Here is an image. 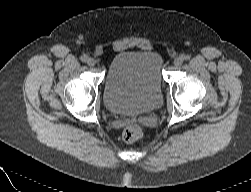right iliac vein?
<instances>
[{"label": "right iliac vein", "instance_id": "obj_1", "mask_svg": "<svg viewBox=\"0 0 251 192\" xmlns=\"http://www.w3.org/2000/svg\"><path fill=\"white\" fill-rule=\"evenodd\" d=\"M87 64H88L89 66H95L96 61H95L94 58L89 57V58L87 59Z\"/></svg>", "mask_w": 251, "mask_h": 192}]
</instances>
